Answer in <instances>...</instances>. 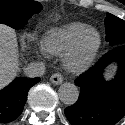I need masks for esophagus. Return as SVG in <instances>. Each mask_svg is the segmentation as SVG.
<instances>
[{"mask_svg": "<svg viewBox=\"0 0 125 125\" xmlns=\"http://www.w3.org/2000/svg\"><path fill=\"white\" fill-rule=\"evenodd\" d=\"M50 81L53 84L59 85L63 82V76L60 73H54L51 78Z\"/></svg>", "mask_w": 125, "mask_h": 125, "instance_id": "esophagus-1", "label": "esophagus"}]
</instances>
